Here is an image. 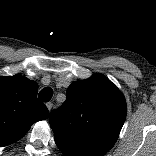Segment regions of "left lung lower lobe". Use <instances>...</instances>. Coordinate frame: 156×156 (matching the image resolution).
<instances>
[{
    "label": "left lung lower lobe",
    "mask_w": 156,
    "mask_h": 156,
    "mask_svg": "<svg viewBox=\"0 0 156 156\" xmlns=\"http://www.w3.org/2000/svg\"><path fill=\"white\" fill-rule=\"evenodd\" d=\"M58 148L61 150V152L64 154V156H88L85 153L76 151L72 148L67 147L66 145H64L63 143L55 140Z\"/></svg>",
    "instance_id": "0a47b994"
}]
</instances>
